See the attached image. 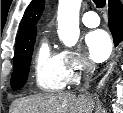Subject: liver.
<instances>
[{
  "label": "liver",
  "mask_w": 123,
  "mask_h": 113,
  "mask_svg": "<svg viewBox=\"0 0 123 113\" xmlns=\"http://www.w3.org/2000/svg\"><path fill=\"white\" fill-rule=\"evenodd\" d=\"M93 108L91 97L65 92L21 98L14 102L12 113H91Z\"/></svg>",
  "instance_id": "6515ba94"
}]
</instances>
